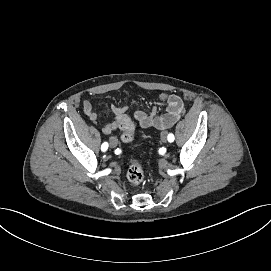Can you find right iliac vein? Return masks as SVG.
I'll return each mask as SVG.
<instances>
[{
    "label": "right iliac vein",
    "instance_id": "1",
    "mask_svg": "<svg viewBox=\"0 0 271 271\" xmlns=\"http://www.w3.org/2000/svg\"><path fill=\"white\" fill-rule=\"evenodd\" d=\"M109 144L111 147L115 148L118 145V139L116 137H111Z\"/></svg>",
    "mask_w": 271,
    "mask_h": 271
}]
</instances>
